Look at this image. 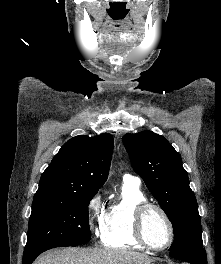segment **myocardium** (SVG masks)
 Segmentation results:
<instances>
[{"label":"myocardium","mask_w":221,"mask_h":264,"mask_svg":"<svg viewBox=\"0 0 221 264\" xmlns=\"http://www.w3.org/2000/svg\"><path fill=\"white\" fill-rule=\"evenodd\" d=\"M152 209L157 210L163 216L169 228V240L164 246L161 247H156L151 245L147 241L144 233V220L148 211ZM132 229L136 241L144 248H147L152 251H157V252L164 251L168 249L174 242L175 229L173 222L170 216L168 215V213L164 210V208H162L160 205L155 203L146 201L135 207L132 218Z\"/></svg>","instance_id":"f54148a6"}]
</instances>
